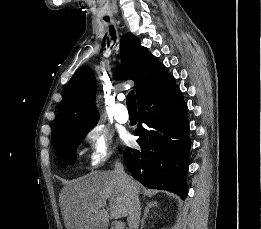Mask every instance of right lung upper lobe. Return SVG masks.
Segmentation results:
<instances>
[{"label": "right lung upper lobe", "mask_w": 261, "mask_h": 229, "mask_svg": "<svg viewBox=\"0 0 261 229\" xmlns=\"http://www.w3.org/2000/svg\"><path fill=\"white\" fill-rule=\"evenodd\" d=\"M123 66L117 72L119 78L131 79L137 101L156 90L169 77L166 67L158 62L140 40L132 33L122 39ZM96 80L88 66L80 67L68 82L54 121L52 148L64 141L62 129L70 126L92 125L98 120L94 103Z\"/></svg>", "instance_id": "obj_1"}]
</instances>
